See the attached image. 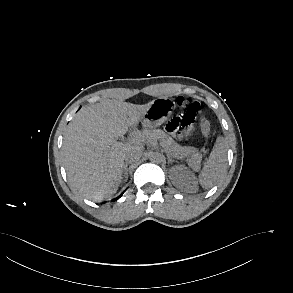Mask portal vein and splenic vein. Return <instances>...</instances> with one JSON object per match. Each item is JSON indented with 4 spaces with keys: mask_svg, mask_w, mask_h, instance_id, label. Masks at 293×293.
I'll use <instances>...</instances> for the list:
<instances>
[{
    "mask_svg": "<svg viewBox=\"0 0 293 293\" xmlns=\"http://www.w3.org/2000/svg\"><path fill=\"white\" fill-rule=\"evenodd\" d=\"M145 139H146V136L144 134L139 133L132 136L129 139V143L141 142V141H144Z\"/></svg>",
    "mask_w": 293,
    "mask_h": 293,
    "instance_id": "18ae733b",
    "label": "portal vein and splenic vein"
}]
</instances>
